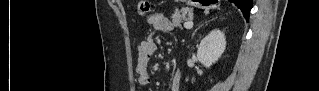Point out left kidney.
<instances>
[{
    "mask_svg": "<svg viewBox=\"0 0 319 91\" xmlns=\"http://www.w3.org/2000/svg\"><path fill=\"white\" fill-rule=\"evenodd\" d=\"M226 39L223 31L215 29L205 36L198 47L197 58L206 68H210L223 54Z\"/></svg>",
    "mask_w": 319,
    "mask_h": 91,
    "instance_id": "obj_1",
    "label": "left kidney"
}]
</instances>
